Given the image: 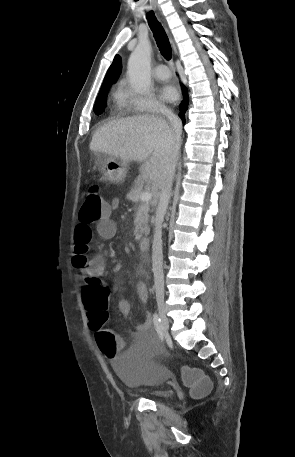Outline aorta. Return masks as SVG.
<instances>
[{
  "label": "aorta",
  "instance_id": "762f6f07",
  "mask_svg": "<svg viewBox=\"0 0 295 457\" xmlns=\"http://www.w3.org/2000/svg\"><path fill=\"white\" fill-rule=\"evenodd\" d=\"M152 47L149 41H140L128 60L129 82L135 92L145 94L150 89V59Z\"/></svg>",
  "mask_w": 295,
  "mask_h": 457
}]
</instances>
